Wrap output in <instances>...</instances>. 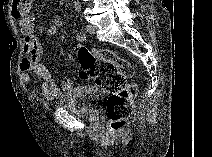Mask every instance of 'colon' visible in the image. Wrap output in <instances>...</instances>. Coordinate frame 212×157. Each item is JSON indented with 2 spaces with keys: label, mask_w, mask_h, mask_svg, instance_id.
I'll return each mask as SVG.
<instances>
[{
  "label": "colon",
  "mask_w": 212,
  "mask_h": 157,
  "mask_svg": "<svg viewBox=\"0 0 212 157\" xmlns=\"http://www.w3.org/2000/svg\"><path fill=\"white\" fill-rule=\"evenodd\" d=\"M82 79H93L108 92L107 115L110 131H120L133 113V99L138 84L133 80L134 68L126 60L108 49L76 48Z\"/></svg>",
  "instance_id": "obj_1"
}]
</instances>
